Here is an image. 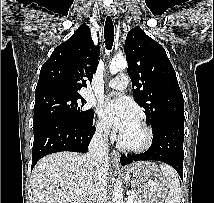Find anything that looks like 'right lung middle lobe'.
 <instances>
[{
    "instance_id": "obj_1",
    "label": "right lung middle lobe",
    "mask_w": 214,
    "mask_h": 203,
    "mask_svg": "<svg viewBox=\"0 0 214 203\" xmlns=\"http://www.w3.org/2000/svg\"><path fill=\"white\" fill-rule=\"evenodd\" d=\"M84 104L86 100L79 93H52L35 98L34 124L49 119L88 124L94 113L92 109H83Z\"/></svg>"
}]
</instances>
